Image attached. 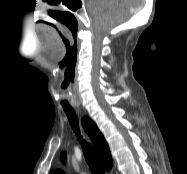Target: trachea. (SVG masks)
<instances>
[{"instance_id":"trachea-1","label":"trachea","mask_w":187,"mask_h":174,"mask_svg":"<svg viewBox=\"0 0 187 174\" xmlns=\"http://www.w3.org/2000/svg\"><path fill=\"white\" fill-rule=\"evenodd\" d=\"M64 111L68 117L72 129L77 135V139L80 141V144L82 145L85 159L87 161V164L89 165L92 174H105L102 164L93 147L89 143H86L84 140H82V136H80L78 127L79 121L75 111L71 108H64Z\"/></svg>"}]
</instances>
